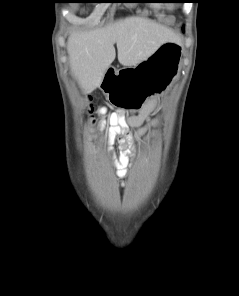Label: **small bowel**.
Listing matches in <instances>:
<instances>
[{"instance_id":"1","label":"small bowel","mask_w":239,"mask_h":296,"mask_svg":"<svg viewBox=\"0 0 239 296\" xmlns=\"http://www.w3.org/2000/svg\"><path fill=\"white\" fill-rule=\"evenodd\" d=\"M156 106V101L148 102L144 108L138 113L128 117L122 111H117L109 116L107 120L101 121V128L107 123L118 125L122 133H128L129 126L137 128L134 136L123 134L118 135L117 141L120 146V155L116 157L113 155V164L116 169V174L123 178L127 175L132 160V146L133 143L140 139L147 130V125H157L160 122L159 118H155L149 122V115L152 113Z\"/></svg>"}]
</instances>
